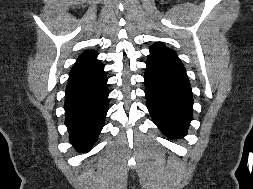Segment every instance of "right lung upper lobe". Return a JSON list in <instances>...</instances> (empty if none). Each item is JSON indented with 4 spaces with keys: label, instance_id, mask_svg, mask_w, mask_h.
<instances>
[{
    "label": "right lung upper lobe",
    "instance_id": "obj_1",
    "mask_svg": "<svg viewBox=\"0 0 253 189\" xmlns=\"http://www.w3.org/2000/svg\"><path fill=\"white\" fill-rule=\"evenodd\" d=\"M97 52L86 51L79 56L70 72L69 80H89L104 74V65L97 60Z\"/></svg>",
    "mask_w": 253,
    "mask_h": 189
}]
</instances>
